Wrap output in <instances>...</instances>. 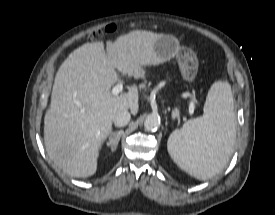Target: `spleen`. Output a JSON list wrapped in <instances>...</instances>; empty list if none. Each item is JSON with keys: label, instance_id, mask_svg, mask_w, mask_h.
I'll return each mask as SVG.
<instances>
[{"label": "spleen", "instance_id": "1", "mask_svg": "<svg viewBox=\"0 0 275 215\" xmlns=\"http://www.w3.org/2000/svg\"><path fill=\"white\" fill-rule=\"evenodd\" d=\"M233 109L230 84L227 81L213 83L204 115L189 120L168 139V152L182 170L199 180H207L224 168L236 140Z\"/></svg>", "mask_w": 275, "mask_h": 215}]
</instances>
